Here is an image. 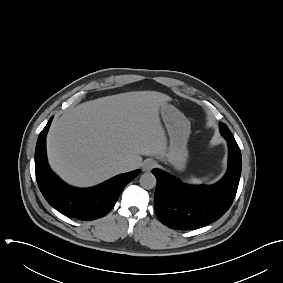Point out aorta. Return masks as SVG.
Listing matches in <instances>:
<instances>
[{
    "instance_id": "obj_1",
    "label": "aorta",
    "mask_w": 283,
    "mask_h": 283,
    "mask_svg": "<svg viewBox=\"0 0 283 283\" xmlns=\"http://www.w3.org/2000/svg\"><path fill=\"white\" fill-rule=\"evenodd\" d=\"M156 178L155 176L150 173V172H146L144 174L141 175L140 177V185L144 188V189H152L156 186Z\"/></svg>"
}]
</instances>
